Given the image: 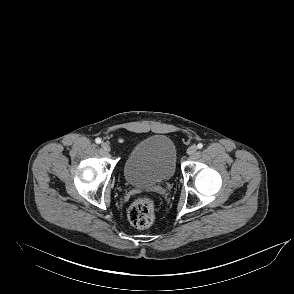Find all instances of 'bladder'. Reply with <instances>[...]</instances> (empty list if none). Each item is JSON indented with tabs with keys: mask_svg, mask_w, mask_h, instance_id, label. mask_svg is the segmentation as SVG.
<instances>
[{
	"mask_svg": "<svg viewBox=\"0 0 294 294\" xmlns=\"http://www.w3.org/2000/svg\"><path fill=\"white\" fill-rule=\"evenodd\" d=\"M177 149L168 136L156 134L138 142L123 165V177L134 188L169 180L175 173Z\"/></svg>",
	"mask_w": 294,
	"mask_h": 294,
	"instance_id": "31cf9c89",
	"label": "bladder"
}]
</instances>
